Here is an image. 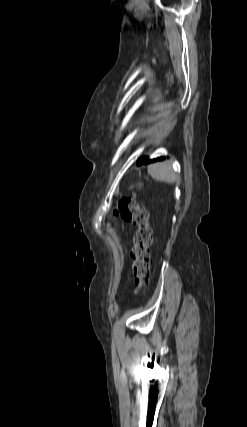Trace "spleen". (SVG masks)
<instances>
[{
	"label": "spleen",
	"instance_id": "3e777b00",
	"mask_svg": "<svg viewBox=\"0 0 247 427\" xmlns=\"http://www.w3.org/2000/svg\"><path fill=\"white\" fill-rule=\"evenodd\" d=\"M148 173L152 178L166 183H174L178 180L177 175L173 172L171 164L161 162L148 167Z\"/></svg>",
	"mask_w": 247,
	"mask_h": 427
}]
</instances>
